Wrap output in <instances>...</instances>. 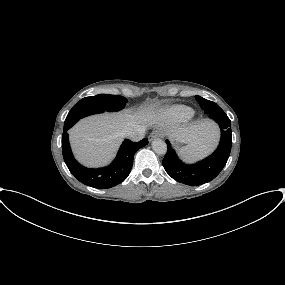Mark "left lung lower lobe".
<instances>
[{"label":"left lung lower lobe","mask_w":285,"mask_h":285,"mask_svg":"<svg viewBox=\"0 0 285 285\" xmlns=\"http://www.w3.org/2000/svg\"><path fill=\"white\" fill-rule=\"evenodd\" d=\"M208 115L219 124L221 140L217 150L204 160L191 165L183 163L166 140L168 150L162 164L166 172L178 182L190 186L207 183L221 172L229 158L232 144L230 120L223 110Z\"/></svg>","instance_id":"obj_1"}]
</instances>
